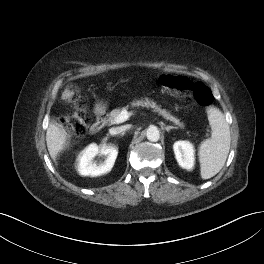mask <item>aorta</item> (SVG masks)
<instances>
[{
	"label": "aorta",
	"mask_w": 264,
	"mask_h": 264,
	"mask_svg": "<svg viewBox=\"0 0 264 264\" xmlns=\"http://www.w3.org/2000/svg\"><path fill=\"white\" fill-rule=\"evenodd\" d=\"M147 139L151 142H157L160 138L159 130L156 126H150L146 131Z\"/></svg>",
	"instance_id": "aorta-1"
}]
</instances>
